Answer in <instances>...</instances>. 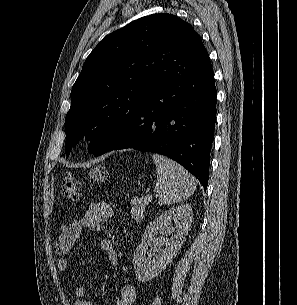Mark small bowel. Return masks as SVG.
Masks as SVG:
<instances>
[{"instance_id": "obj_1", "label": "small bowel", "mask_w": 297, "mask_h": 305, "mask_svg": "<svg viewBox=\"0 0 297 305\" xmlns=\"http://www.w3.org/2000/svg\"><path fill=\"white\" fill-rule=\"evenodd\" d=\"M113 216V209L107 203L91 204L81 217L73 219L64 224L57 234L54 250L58 255L57 266L61 272H66L68 262L65 258L69 250L74 246L79 238L82 229L88 228L93 231H101L103 225ZM100 247L105 251L108 260L112 266L117 265V252L108 238H101ZM77 298L76 305H94L91 300L85 299L86 288L79 285L75 289ZM137 297V291L134 285L125 284L120 288L119 299L114 305H133Z\"/></svg>"}]
</instances>
